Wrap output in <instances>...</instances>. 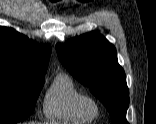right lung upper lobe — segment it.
<instances>
[{
    "label": "right lung upper lobe",
    "mask_w": 156,
    "mask_h": 124,
    "mask_svg": "<svg viewBox=\"0 0 156 124\" xmlns=\"http://www.w3.org/2000/svg\"><path fill=\"white\" fill-rule=\"evenodd\" d=\"M50 55L49 44H37L12 28L0 26V70L44 75Z\"/></svg>",
    "instance_id": "1"
}]
</instances>
